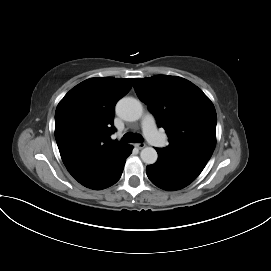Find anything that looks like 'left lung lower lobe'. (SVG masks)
<instances>
[{"label": "left lung lower lobe", "instance_id": "1", "mask_svg": "<svg viewBox=\"0 0 271 271\" xmlns=\"http://www.w3.org/2000/svg\"><path fill=\"white\" fill-rule=\"evenodd\" d=\"M158 160L148 165L146 173L153 184L168 191L179 190L202 172L206 161L184 154L171 153L165 148H155Z\"/></svg>", "mask_w": 271, "mask_h": 271}]
</instances>
